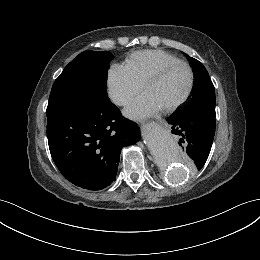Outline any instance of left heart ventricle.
Masks as SVG:
<instances>
[{"instance_id": "b2bd125f", "label": "left heart ventricle", "mask_w": 260, "mask_h": 260, "mask_svg": "<svg viewBox=\"0 0 260 260\" xmlns=\"http://www.w3.org/2000/svg\"><path fill=\"white\" fill-rule=\"evenodd\" d=\"M188 84V71L179 67L169 72L158 82L150 85L146 89V93L150 94L164 108L178 100L185 93Z\"/></svg>"}]
</instances>
